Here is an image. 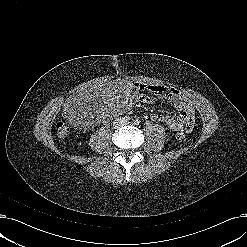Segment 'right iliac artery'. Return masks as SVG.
I'll return each instance as SVG.
<instances>
[{
  "label": "right iliac artery",
  "mask_w": 247,
  "mask_h": 247,
  "mask_svg": "<svg viewBox=\"0 0 247 247\" xmlns=\"http://www.w3.org/2000/svg\"><path fill=\"white\" fill-rule=\"evenodd\" d=\"M126 120H130V117H126Z\"/></svg>",
  "instance_id": "1"
}]
</instances>
